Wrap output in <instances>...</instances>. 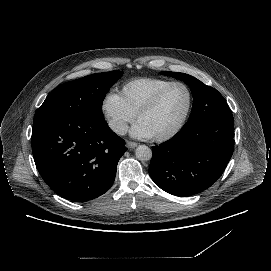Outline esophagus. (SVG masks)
Masks as SVG:
<instances>
[{
	"instance_id": "1",
	"label": "esophagus",
	"mask_w": 271,
	"mask_h": 271,
	"mask_svg": "<svg viewBox=\"0 0 271 271\" xmlns=\"http://www.w3.org/2000/svg\"><path fill=\"white\" fill-rule=\"evenodd\" d=\"M137 143L136 142H132V141H126V147L128 149H134L135 147H137Z\"/></svg>"
}]
</instances>
